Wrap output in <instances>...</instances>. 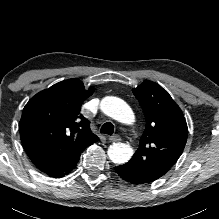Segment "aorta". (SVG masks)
Instances as JSON below:
<instances>
[{
	"instance_id": "762f6f07",
	"label": "aorta",
	"mask_w": 219,
	"mask_h": 219,
	"mask_svg": "<svg viewBox=\"0 0 219 219\" xmlns=\"http://www.w3.org/2000/svg\"><path fill=\"white\" fill-rule=\"evenodd\" d=\"M101 110L109 117L123 124H133L135 115L131 107L122 99L114 96L105 97L101 102ZM133 149L124 143H115L108 149L110 160L117 164H124L130 160Z\"/></svg>"
}]
</instances>
